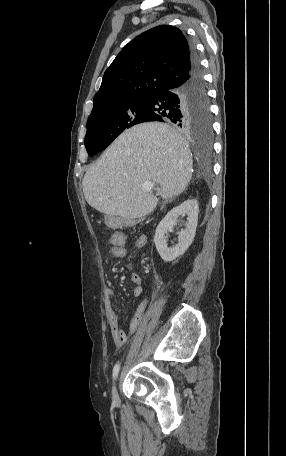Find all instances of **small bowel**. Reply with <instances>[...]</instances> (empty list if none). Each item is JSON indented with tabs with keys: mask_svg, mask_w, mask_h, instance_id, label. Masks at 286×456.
<instances>
[{
	"mask_svg": "<svg viewBox=\"0 0 286 456\" xmlns=\"http://www.w3.org/2000/svg\"><path fill=\"white\" fill-rule=\"evenodd\" d=\"M125 242H126V234L124 232L117 231L115 232L110 240L108 249L109 252L115 257V258H124L127 255V251L125 248ZM147 245V237L145 235H140L137 237L135 241V248L138 250H141L145 248ZM131 287H132V293L134 296H141L143 294V286H142V279L139 274L134 273L131 276ZM106 295H107V300L105 302V317H106V322L108 325V328L110 330V333L112 335V338L114 340V343L116 344L117 347L123 346L129 337V333L133 332L136 330V328L139 326L140 322L142 321L145 311L148 306L149 299L144 298L140 301L138 304V307L136 309L135 315L130 321L129 325V332L120 329L119 327V319L118 316L113 308V305L110 301V298L114 296V291L111 288H108L106 290Z\"/></svg>",
	"mask_w": 286,
	"mask_h": 456,
	"instance_id": "c3829d8e",
	"label": "small bowel"
}]
</instances>
